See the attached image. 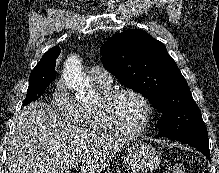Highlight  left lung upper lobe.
I'll return each mask as SVG.
<instances>
[{
  "label": "left lung upper lobe",
  "mask_w": 219,
  "mask_h": 173,
  "mask_svg": "<svg viewBox=\"0 0 219 173\" xmlns=\"http://www.w3.org/2000/svg\"><path fill=\"white\" fill-rule=\"evenodd\" d=\"M104 67L162 112L159 136L208 141L188 84L163 43L138 29L114 34L100 48Z\"/></svg>",
  "instance_id": "1"
}]
</instances>
